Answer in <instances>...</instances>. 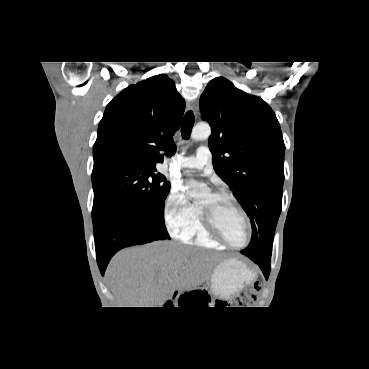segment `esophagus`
Wrapping results in <instances>:
<instances>
[{"label":"esophagus","instance_id":"esophagus-1","mask_svg":"<svg viewBox=\"0 0 369 369\" xmlns=\"http://www.w3.org/2000/svg\"><path fill=\"white\" fill-rule=\"evenodd\" d=\"M187 108L193 112L194 115L198 113L199 101L197 99L187 103Z\"/></svg>","mask_w":369,"mask_h":369}]
</instances>
